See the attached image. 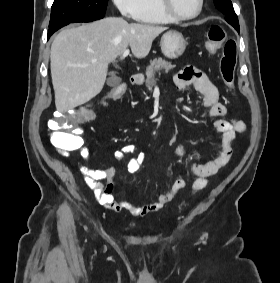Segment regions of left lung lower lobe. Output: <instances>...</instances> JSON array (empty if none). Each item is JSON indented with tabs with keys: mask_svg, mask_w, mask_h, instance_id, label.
<instances>
[{
	"mask_svg": "<svg viewBox=\"0 0 280 283\" xmlns=\"http://www.w3.org/2000/svg\"><path fill=\"white\" fill-rule=\"evenodd\" d=\"M235 29L239 32V29H240V28H235Z\"/></svg>",
	"mask_w": 280,
	"mask_h": 283,
	"instance_id": "0a47b994",
	"label": "left lung lower lobe"
}]
</instances>
